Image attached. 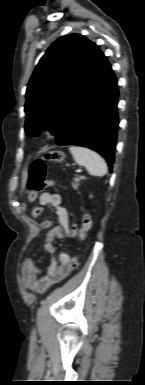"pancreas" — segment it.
Here are the masks:
<instances>
[{"mask_svg": "<svg viewBox=\"0 0 145 385\" xmlns=\"http://www.w3.org/2000/svg\"><path fill=\"white\" fill-rule=\"evenodd\" d=\"M82 179V177H78V176H76L73 180H74V182H72V187L74 188V189H77L78 188V186H79V181Z\"/></svg>", "mask_w": 145, "mask_h": 385, "instance_id": "pancreas-1", "label": "pancreas"}]
</instances>
